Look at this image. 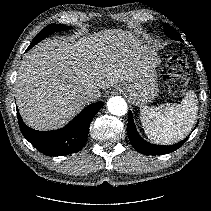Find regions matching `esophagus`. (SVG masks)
Instances as JSON below:
<instances>
[{"instance_id": "1", "label": "esophagus", "mask_w": 211, "mask_h": 211, "mask_svg": "<svg viewBox=\"0 0 211 211\" xmlns=\"http://www.w3.org/2000/svg\"><path fill=\"white\" fill-rule=\"evenodd\" d=\"M123 89L120 86H115L113 89V93H122Z\"/></svg>"}]
</instances>
